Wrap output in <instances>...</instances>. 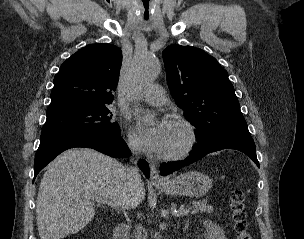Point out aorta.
<instances>
[{
  "label": "aorta",
  "mask_w": 304,
  "mask_h": 239,
  "mask_svg": "<svg viewBox=\"0 0 304 239\" xmlns=\"http://www.w3.org/2000/svg\"><path fill=\"white\" fill-rule=\"evenodd\" d=\"M160 72L158 59L148 55L135 57L129 76V88L132 94H137L144 87L152 83Z\"/></svg>",
  "instance_id": "obj_1"
}]
</instances>
